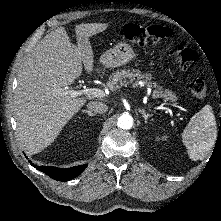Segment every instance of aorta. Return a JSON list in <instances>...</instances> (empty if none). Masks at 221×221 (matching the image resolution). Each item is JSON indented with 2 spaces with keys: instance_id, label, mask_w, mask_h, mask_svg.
<instances>
[{
  "instance_id": "1",
  "label": "aorta",
  "mask_w": 221,
  "mask_h": 221,
  "mask_svg": "<svg viewBox=\"0 0 221 221\" xmlns=\"http://www.w3.org/2000/svg\"><path fill=\"white\" fill-rule=\"evenodd\" d=\"M117 125L121 129H130L133 125V118L129 114H122L117 121Z\"/></svg>"
}]
</instances>
